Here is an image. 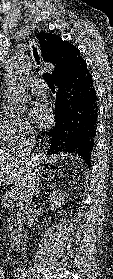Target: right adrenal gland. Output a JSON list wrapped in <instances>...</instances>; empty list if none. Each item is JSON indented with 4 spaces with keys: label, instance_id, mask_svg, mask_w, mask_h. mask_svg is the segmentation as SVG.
Instances as JSON below:
<instances>
[{
    "label": "right adrenal gland",
    "instance_id": "right-adrenal-gland-1",
    "mask_svg": "<svg viewBox=\"0 0 113 279\" xmlns=\"http://www.w3.org/2000/svg\"><path fill=\"white\" fill-rule=\"evenodd\" d=\"M42 172L41 173H38V176H37V185H36V196L39 195L40 193V186H42V181L44 180V177L42 176Z\"/></svg>",
    "mask_w": 113,
    "mask_h": 279
}]
</instances>
